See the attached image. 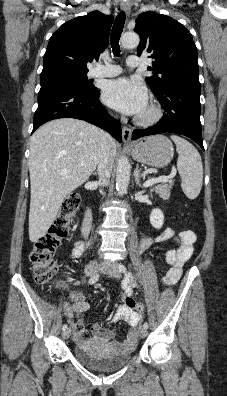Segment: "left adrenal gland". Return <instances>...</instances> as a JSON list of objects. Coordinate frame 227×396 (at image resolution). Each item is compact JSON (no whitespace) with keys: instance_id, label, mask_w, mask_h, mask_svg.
Instances as JSON below:
<instances>
[{"instance_id":"left-adrenal-gland-1","label":"left adrenal gland","mask_w":227,"mask_h":396,"mask_svg":"<svg viewBox=\"0 0 227 396\" xmlns=\"http://www.w3.org/2000/svg\"><path fill=\"white\" fill-rule=\"evenodd\" d=\"M134 179L137 186L142 187L141 185V170L139 169V165H136V169L134 170Z\"/></svg>"}]
</instances>
